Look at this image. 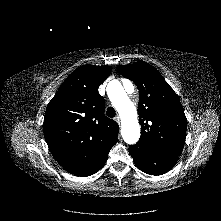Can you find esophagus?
<instances>
[{"label":"esophagus","mask_w":221,"mask_h":221,"mask_svg":"<svg viewBox=\"0 0 221 221\" xmlns=\"http://www.w3.org/2000/svg\"><path fill=\"white\" fill-rule=\"evenodd\" d=\"M115 121H116L118 124H120V118H119L118 116L115 118Z\"/></svg>","instance_id":"obj_1"}]
</instances>
